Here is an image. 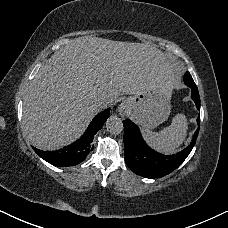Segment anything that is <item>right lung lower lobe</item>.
<instances>
[{
    "label": "right lung lower lobe",
    "mask_w": 228,
    "mask_h": 228,
    "mask_svg": "<svg viewBox=\"0 0 228 228\" xmlns=\"http://www.w3.org/2000/svg\"><path fill=\"white\" fill-rule=\"evenodd\" d=\"M109 116L110 108L97 114L79 140L60 150L45 152L34 147L32 148L41 158L55 166L66 167L77 165L81 163L93 149L91 142L93 141L94 135L102 128Z\"/></svg>",
    "instance_id": "1"
}]
</instances>
